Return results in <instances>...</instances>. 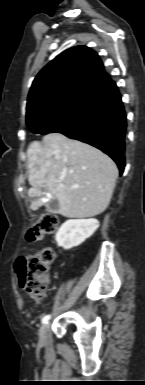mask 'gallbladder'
I'll list each match as a JSON object with an SVG mask.
<instances>
[{
    "label": "gallbladder",
    "instance_id": "bac80fb5",
    "mask_svg": "<svg viewBox=\"0 0 145 385\" xmlns=\"http://www.w3.org/2000/svg\"><path fill=\"white\" fill-rule=\"evenodd\" d=\"M59 204L57 200H51L46 203V211L49 213H57Z\"/></svg>",
    "mask_w": 145,
    "mask_h": 385
}]
</instances>
